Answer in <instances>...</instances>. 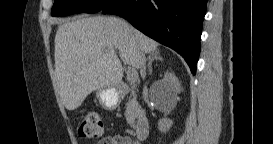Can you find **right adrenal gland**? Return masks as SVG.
<instances>
[{"label": "right adrenal gland", "mask_w": 273, "mask_h": 144, "mask_svg": "<svg viewBox=\"0 0 273 144\" xmlns=\"http://www.w3.org/2000/svg\"><path fill=\"white\" fill-rule=\"evenodd\" d=\"M154 60H162L159 50H154L151 53H149V55H148V71H149L148 74L149 75L152 74V62Z\"/></svg>", "instance_id": "obj_1"}]
</instances>
